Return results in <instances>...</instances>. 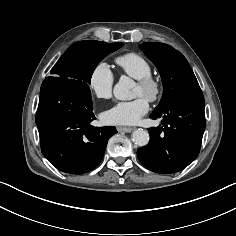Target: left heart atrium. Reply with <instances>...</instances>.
Segmentation results:
<instances>
[{"instance_id": "left-heart-atrium-1", "label": "left heart atrium", "mask_w": 236, "mask_h": 236, "mask_svg": "<svg viewBox=\"0 0 236 236\" xmlns=\"http://www.w3.org/2000/svg\"><path fill=\"white\" fill-rule=\"evenodd\" d=\"M149 110L148 99L138 96L131 101H120L103 113V120L112 125H132Z\"/></svg>"}]
</instances>
